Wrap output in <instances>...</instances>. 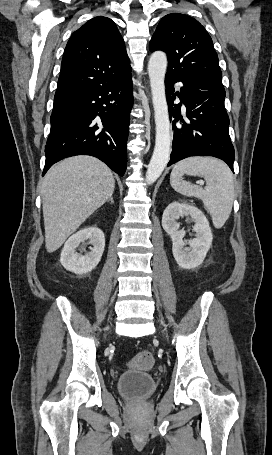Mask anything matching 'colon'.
Here are the masks:
<instances>
[{"label": "colon", "mask_w": 272, "mask_h": 455, "mask_svg": "<svg viewBox=\"0 0 272 455\" xmlns=\"http://www.w3.org/2000/svg\"><path fill=\"white\" fill-rule=\"evenodd\" d=\"M154 364V357L149 351L138 353L130 362L129 366L139 370H149Z\"/></svg>", "instance_id": "obj_1"}]
</instances>
